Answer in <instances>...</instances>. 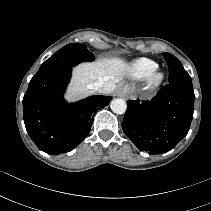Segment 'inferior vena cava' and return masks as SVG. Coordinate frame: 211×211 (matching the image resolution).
Masks as SVG:
<instances>
[{"instance_id":"1","label":"inferior vena cava","mask_w":211,"mask_h":211,"mask_svg":"<svg viewBox=\"0 0 211 211\" xmlns=\"http://www.w3.org/2000/svg\"><path fill=\"white\" fill-rule=\"evenodd\" d=\"M91 89L95 90V91H98V92H102V89H103V82L102 81H95L94 83H92L90 86H89Z\"/></svg>"}]
</instances>
